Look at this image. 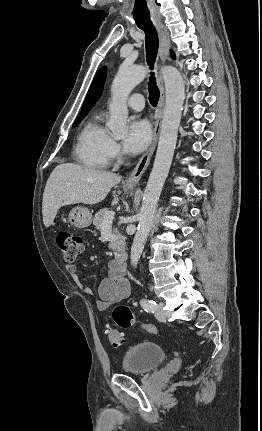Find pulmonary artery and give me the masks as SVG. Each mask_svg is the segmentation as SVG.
Wrapping results in <instances>:
<instances>
[{"label":"pulmonary artery","instance_id":"obj_1","mask_svg":"<svg viewBox=\"0 0 262 431\" xmlns=\"http://www.w3.org/2000/svg\"><path fill=\"white\" fill-rule=\"evenodd\" d=\"M127 105L135 111H142L145 106V99L142 94L135 93L128 98Z\"/></svg>","mask_w":262,"mask_h":431}]
</instances>
